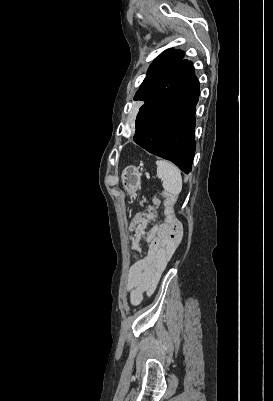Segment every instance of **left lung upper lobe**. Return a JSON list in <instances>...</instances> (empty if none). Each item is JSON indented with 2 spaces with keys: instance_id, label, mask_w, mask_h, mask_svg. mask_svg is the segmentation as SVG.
Listing matches in <instances>:
<instances>
[{
  "instance_id": "left-lung-upper-lobe-1",
  "label": "left lung upper lobe",
  "mask_w": 273,
  "mask_h": 401,
  "mask_svg": "<svg viewBox=\"0 0 273 401\" xmlns=\"http://www.w3.org/2000/svg\"><path fill=\"white\" fill-rule=\"evenodd\" d=\"M184 52L168 49L160 54L150 65L142 85L136 92L134 100L147 102L164 91L173 73L184 61Z\"/></svg>"
}]
</instances>
